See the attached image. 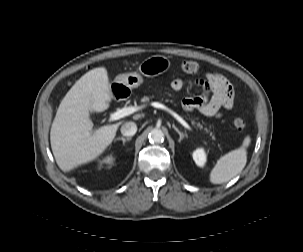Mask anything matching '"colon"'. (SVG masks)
I'll list each match as a JSON object with an SVG mask.
<instances>
[{"instance_id":"colon-1","label":"colon","mask_w":303,"mask_h":252,"mask_svg":"<svg viewBox=\"0 0 303 252\" xmlns=\"http://www.w3.org/2000/svg\"><path fill=\"white\" fill-rule=\"evenodd\" d=\"M180 69L184 73L196 74L200 69V65L195 61L185 60L180 63ZM233 124L238 131H243L246 127L245 119L240 116L234 118Z\"/></svg>"}]
</instances>
